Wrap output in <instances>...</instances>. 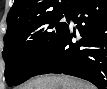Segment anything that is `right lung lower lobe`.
Wrapping results in <instances>:
<instances>
[{
	"instance_id": "right-lung-lower-lobe-1",
	"label": "right lung lower lobe",
	"mask_w": 107,
	"mask_h": 89,
	"mask_svg": "<svg viewBox=\"0 0 107 89\" xmlns=\"http://www.w3.org/2000/svg\"><path fill=\"white\" fill-rule=\"evenodd\" d=\"M77 24L68 28L43 60L33 76L58 73L92 82L99 89L107 87V1L78 0L69 11Z\"/></svg>"
}]
</instances>
